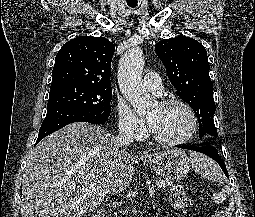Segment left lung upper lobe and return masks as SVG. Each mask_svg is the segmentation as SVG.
Returning a JSON list of instances; mask_svg holds the SVG:
<instances>
[{"instance_id": "1", "label": "left lung upper lobe", "mask_w": 255, "mask_h": 217, "mask_svg": "<svg viewBox=\"0 0 255 217\" xmlns=\"http://www.w3.org/2000/svg\"><path fill=\"white\" fill-rule=\"evenodd\" d=\"M155 50L177 95L195 112L199 138L215 140L218 137L213 120L215 102L206 49L195 39L178 36L159 41Z\"/></svg>"}]
</instances>
